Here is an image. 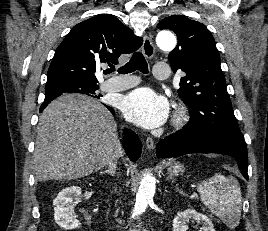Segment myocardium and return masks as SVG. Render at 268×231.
<instances>
[{"instance_id": "1", "label": "myocardium", "mask_w": 268, "mask_h": 231, "mask_svg": "<svg viewBox=\"0 0 268 231\" xmlns=\"http://www.w3.org/2000/svg\"><path fill=\"white\" fill-rule=\"evenodd\" d=\"M188 119V111L185 107L179 106L174 112L172 124L176 127L182 126Z\"/></svg>"}]
</instances>
